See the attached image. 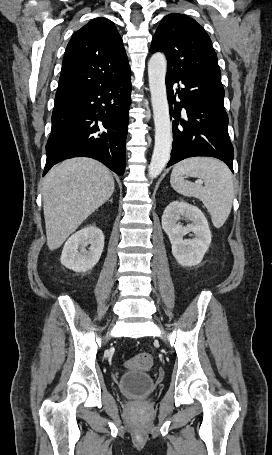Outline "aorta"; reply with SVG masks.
I'll return each mask as SVG.
<instances>
[{"mask_svg":"<svg viewBox=\"0 0 272 455\" xmlns=\"http://www.w3.org/2000/svg\"><path fill=\"white\" fill-rule=\"evenodd\" d=\"M167 61L163 53H155L148 63L149 88L155 124V145L149 165L148 176L160 175L170 159L172 145V125L167 100L166 77Z\"/></svg>","mask_w":272,"mask_h":455,"instance_id":"aorta-1","label":"aorta"}]
</instances>
